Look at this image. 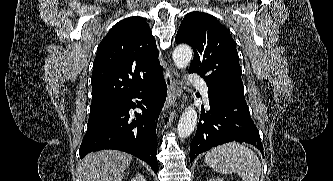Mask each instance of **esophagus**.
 Segmentation results:
<instances>
[{
  "mask_svg": "<svg viewBox=\"0 0 333 181\" xmlns=\"http://www.w3.org/2000/svg\"><path fill=\"white\" fill-rule=\"evenodd\" d=\"M164 77L168 89L167 98L165 102V109H167L177 106L178 101L181 98V93L178 89V78L171 71V69H167Z\"/></svg>",
  "mask_w": 333,
  "mask_h": 181,
  "instance_id": "34e87169",
  "label": "esophagus"
}]
</instances>
